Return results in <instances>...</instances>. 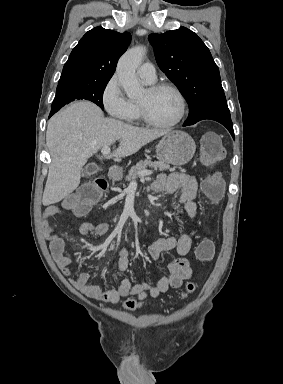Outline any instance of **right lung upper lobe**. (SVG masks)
I'll use <instances>...</instances> for the list:
<instances>
[{"instance_id":"right-lung-upper-lobe-1","label":"right lung upper lobe","mask_w":283,"mask_h":384,"mask_svg":"<svg viewBox=\"0 0 283 384\" xmlns=\"http://www.w3.org/2000/svg\"><path fill=\"white\" fill-rule=\"evenodd\" d=\"M130 41L128 32L119 33L103 27L88 31L72 50L58 86L108 82Z\"/></svg>"}]
</instances>
